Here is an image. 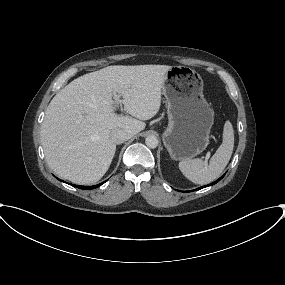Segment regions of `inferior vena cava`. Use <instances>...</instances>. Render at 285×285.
<instances>
[{"instance_id": "obj_1", "label": "inferior vena cava", "mask_w": 285, "mask_h": 285, "mask_svg": "<svg viewBox=\"0 0 285 285\" xmlns=\"http://www.w3.org/2000/svg\"><path fill=\"white\" fill-rule=\"evenodd\" d=\"M131 138V135L122 129L113 130L111 133V139L116 144H121Z\"/></svg>"}]
</instances>
